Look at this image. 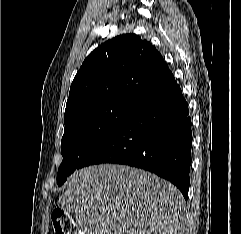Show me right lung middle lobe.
Returning a JSON list of instances; mask_svg holds the SVG:
<instances>
[{"label": "right lung middle lobe", "mask_w": 241, "mask_h": 234, "mask_svg": "<svg viewBox=\"0 0 241 234\" xmlns=\"http://www.w3.org/2000/svg\"><path fill=\"white\" fill-rule=\"evenodd\" d=\"M133 103L108 101L77 109L64 116L65 130L61 141L63 161L58 169V186L131 110Z\"/></svg>", "instance_id": "1"}]
</instances>
